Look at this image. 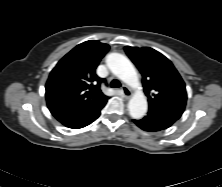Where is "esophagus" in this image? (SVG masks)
<instances>
[{
  "mask_svg": "<svg viewBox=\"0 0 222 187\" xmlns=\"http://www.w3.org/2000/svg\"><path fill=\"white\" fill-rule=\"evenodd\" d=\"M122 93L123 96L127 99L131 97V90L125 85L122 86Z\"/></svg>",
  "mask_w": 222,
  "mask_h": 187,
  "instance_id": "34e87169",
  "label": "esophagus"
}]
</instances>
